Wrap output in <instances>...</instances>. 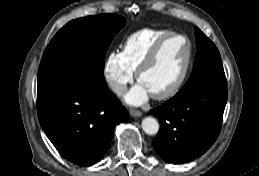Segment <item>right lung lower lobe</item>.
Instances as JSON below:
<instances>
[{
    "instance_id": "98d812e1",
    "label": "right lung lower lobe",
    "mask_w": 259,
    "mask_h": 176,
    "mask_svg": "<svg viewBox=\"0 0 259 176\" xmlns=\"http://www.w3.org/2000/svg\"><path fill=\"white\" fill-rule=\"evenodd\" d=\"M37 80L38 118L52 144L76 165L97 163L115 125L128 119L103 74L65 65L38 73Z\"/></svg>"
}]
</instances>
